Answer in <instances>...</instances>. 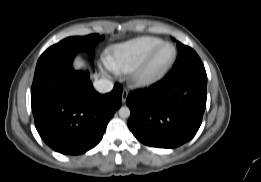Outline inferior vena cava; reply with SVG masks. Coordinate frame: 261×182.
<instances>
[{
    "label": "inferior vena cava",
    "mask_w": 261,
    "mask_h": 182,
    "mask_svg": "<svg viewBox=\"0 0 261 182\" xmlns=\"http://www.w3.org/2000/svg\"><path fill=\"white\" fill-rule=\"evenodd\" d=\"M113 83L106 79L96 80L94 88L100 93H108L113 89Z\"/></svg>",
    "instance_id": "inferior-vena-cava-1"
}]
</instances>
